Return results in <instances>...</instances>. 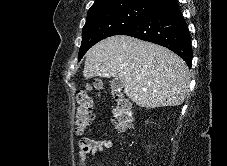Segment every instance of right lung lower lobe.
Listing matches in <instances>:
<instances>
[{"label":"right lung lower lobe","mask_w":227,"mask_h":166,"mask_svg":"<svg viewBox=\"0 0 227 166\" xmlns=\"http://www.w3.org/2000/svg\"><path fill=\"white\" fill-rule=\"evenodd\" d=\"M118 35H127L164 46L179 55L191 68L190 34L178 0H166Z\"/></svg>","instance_id":"obj_1"}]
</instances>
